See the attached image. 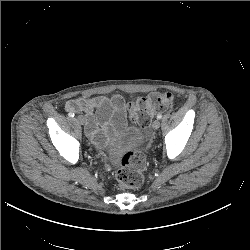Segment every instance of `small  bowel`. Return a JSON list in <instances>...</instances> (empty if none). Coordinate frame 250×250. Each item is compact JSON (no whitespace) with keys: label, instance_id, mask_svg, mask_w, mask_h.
Segmentation results:
<instances>
[{"label":"small bowel","instance_id":"small-bowel-1","mask_svg":"<svg viewBox=\"0 0 250 250\" xmlns=\"http://www.w3.org/2000/svg\"><path fill=\"white\" fill-rule=\"evenodd\" d=\"M124 105V100L119 95H113L110 98L81 96L69 100L65 104V110L72 113H82L87 136L94 144L100 145L110 129L112 114L121 115Z\"/></svg>","mask_w":250,"mask_h":250}]
</instances>
